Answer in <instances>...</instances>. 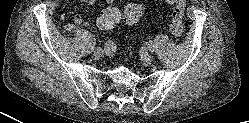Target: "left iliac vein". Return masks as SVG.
Returning a JSON list of instances; mask_svg holds the SVG:
<instances>
[{
  "mask_svg": "<svg viewBox=\"0 0 249 123\" xmlns=\"http://www.w3.org/2000/svg\"><path fill=\"white\" fill-rule=\"evenodd\" d=\"M141 59H142L145 63H151V62H152V57H151V55H150L148 52H146V51L142 52V54H141Z\"/></svg>",
  "mask_w": 249,
  "mask_h": 123,
  "instance_id": "obj_1",
  "label": "left iliac vein"
}]
</instances>
